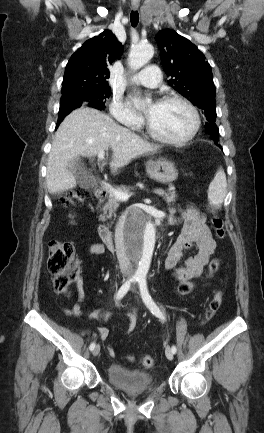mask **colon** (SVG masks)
Instances as JSON below:
<instances>
[{
    "mask_svg": "<svg viewBox=\"0 0 264 433\" xmlns=\"http://www.w3.org/2000/svg\"><path fill=\"white\" fill-rule=\"evenodd\" d=\"M90 193L87 189H77L71 192L63 200V205L67 208L75 206L77 203H82L88 199ZM212 214L211 225L214 229L216 237L223 239L225 237V230L223 228V220L218 216L213 208H209ZM48 269L52 274L54 281V289L58 294H65L69 285L78 274V260L73 243L68 241H53L49 244L48 248ZM220 267V260L214 258L210 261L206 275L212 276ZM195 288V283L186 281L178 284L177 292L179 295L184 296L191 293ZM222 292L218 291L211 299L208 309L206 311L203 323L208 322L215 313L219 310L222 303ZM141 362L145 367L151 368L155 364V360L150 355H144Z\"/></svg>",
    "mask_w": 264,
    "mask_h": 433,
    "instance_id": "5ec220e1",
    "label": "colon"
}]
</instances>
